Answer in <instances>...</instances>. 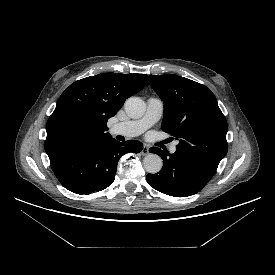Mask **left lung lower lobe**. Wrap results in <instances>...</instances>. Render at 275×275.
Masks as SVG:
<instances>
[{
	"label": "left lung lower lobe",
	"mask_w": 275,
	"mask_h": 275,
	"mask_svg": "<svg viewBox=\"0 0 275 275\" xmlns=\"http://www.w3.org/2000/svg\"><path fill=\"white\" fill-rule=\"evenodd\" d=\"M149 151L163 159V167L156 174H148L147 182L155 190L170 196L187 197L196 194L217 169L195 156L177 150L171 155L157 147Z\"/></svg>",
	"instance_id": "1"
}]
</instances>
